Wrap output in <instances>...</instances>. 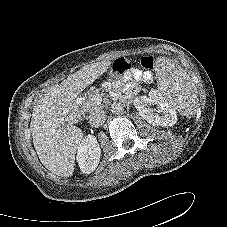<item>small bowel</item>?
I'll list each match as a JSON object with an SVG mask.
<instances>
[{
	"label": "small bowel",
	"instance_id": "1",
	"mask_svg": "<svg viewBox=\"0 0 227 227\" xmlns=\"http://www.w3.org/2000/svg\"><path fill=\"white\" fill-rule=\"evenodd\" d=\"M133 77L136 80L150 81L152 79V75L150 72H142L139 69L133 70Z\"/></svg>",
	"mask_w": 227,
	"mask_h": 227
}]
</instances>
